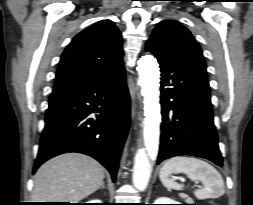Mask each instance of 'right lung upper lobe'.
I'll use <instances>...</instances> for the list:
<instances>
[{"mask_svg": "<svg viewBox=\"0 0 253 205\" xmlns=\"http://www.w3.org/2000/svg\"><path fill=\"white\" fill-rule=\"evenodd\" d=\"M122 37L110 20L76 35L63 52L54 92L98 82L124 69Z\"/></svg>", "mask_w": 253, "mask_h": 205, "instance_id": "obj_1", "label": "right lung upper lobe"}]
</instances>
